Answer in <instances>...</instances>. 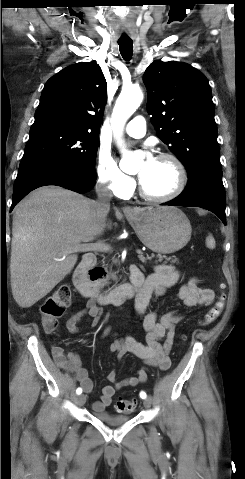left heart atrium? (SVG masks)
Returning a JSON list of instances; mask_svg holds the SVG:
<instances>
[{
  "label": "left heart atrium",
  "instance_id": "obj_1",
  "mask_svg": "<svg viewBox=\"0 0 245 479\" xmlns=\"http://www.w3.org/2000/svg\"><path fill=\"white\" fill-rule=\"evenodd\" d=\"M155 158H153L150 154H148L147 158H146V166H150L153 162H154Z\"/></svg>",
  "mask_w": 245,
  "mask_h": 479
}]
</instances>
